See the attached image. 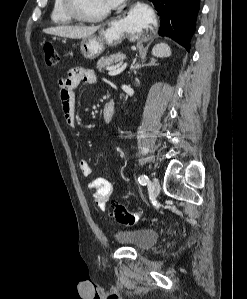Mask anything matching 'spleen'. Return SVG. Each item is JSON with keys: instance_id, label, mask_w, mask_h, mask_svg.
I'll return each mask as SVG.
<instances>
[{"instance_id": "obj_1", "label": "spleen", "mask_w": 247, "mask_h": 299, "mask_svg": "<svg viewBox=\"0 0 247 299\" xmlns=\"http://www.w3.org/2000/svg\"><path fill=\"white\" fill-rule=\"evenodd\" d=\"M152 55L160 58L169 57L171 55V49L167 44L159 43L153 47Z\"/></svg>"}]
</instances>
